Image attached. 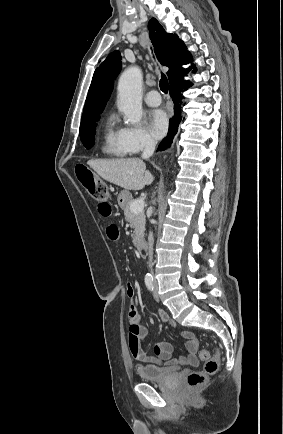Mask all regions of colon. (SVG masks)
I'll use <instances>...</instances> for the list:
<instances>
[{
    "label": "colon",
    "instance_id": "5ec220e1",
    "mask_svg": "<svg viewBox=\"0 0 283 434\" xmlns=\"http://www.w3.org/2000/svg\"><path fill=\"white\" fill-rule=\"evenodd\" d=\"M75 172L79 182L93 199L99 202L108 199L109 192L106 184L96 177L87 166L78 165L76 166ZM199 356L205 363L202 370L193 371L188 375L187 384L191 389H196L203 386L207 380V377L216 373L219 368L218 354L212 356L208 349H201Z\"/></svg>",
    "mask_w": 283,
    "mask_h": 434
}]
</instances>
